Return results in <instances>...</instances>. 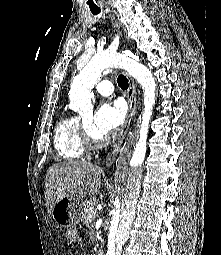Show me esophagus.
Listing matches in <instances>:
<instances>
[{
  "instance_id": "esophagus-1",
  "label": "esophagus",
  "mask_w": 221,
  "mask_h": 255,
  "mask_svg": "<svg viewBox=\"0 0 221 255\" xmlns=\"http://www.w3.org/2000/svg\"><path fill=\"white\" fill-rule=\"evenodd\" d=\"M110 16L112 18L114 26L120 31L119 22L115 19V17L112 14H110ZM127 78H128V82H129V88H128L129 110H128V114L125 119V122L117 136L116 142L114 143L112 150L107 154V157H106V167L107 168H110L111 165L114 163V161L120 151V148L123 144L124 138H125L126 134L128 133V130L130 128L133 117L136 113V107H137L136 86H135L134 80L129 75H127Z\"/></svg>"
}]
</instances>
